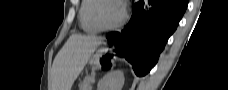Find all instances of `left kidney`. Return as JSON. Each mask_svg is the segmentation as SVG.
Wrapping results in <instances>:
<instances>
[{"instance_id":"1","label":"left kidney","mask_w":228,"mask_h":90,"mask_svg":"<svg viewBox=\"0 0 228 90\" xmlns=\"http://www.w3.org/2000/svg\"><path fill=\"white\" fill-rule=\"evenodd\" d=\"M124 74L117 70L106 74L98 83V90H122Z\"/></svg>"}]
</instances>
